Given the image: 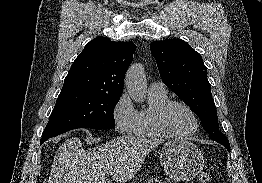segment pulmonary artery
I'll return each mask as SVG.
<instances>
[{"label":"pulmonary artery","mask_w":262,"mask_h":183,"mask_svg":"<svg viewBox=\"0 0 262 183\" xmlns=\"http://www.w3.org/2000/svg\"><path fill=\"white\" fill-rule=\"evenodd\" d=\"M150 92H166V86L161 82H153L149 86Z\"/></svg>","instance_id":"e3ab8cb5"}]
</instances>
